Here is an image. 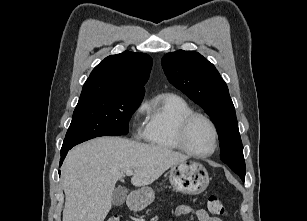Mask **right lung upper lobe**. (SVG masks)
I'll return each instance as SVG.
<instances>
[{
	"instance_id": "cb5924a9",
	"label": "right lung upper lobe",
	"mask_w": 307,
	"mask_h": 221,
	"mask_svg": "<svg viewBox=\"0 0 307 221\" xmlns=\"http://www.w3.org/2000/svg\"><path fill=\"white\" fill-rule=\"evenodd\" d=\"M152 63L149 55L130 51L106 57L91 72L79 102L109 95L143 97Z\"/></svg>"
}]
</instances>
